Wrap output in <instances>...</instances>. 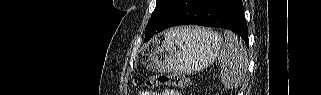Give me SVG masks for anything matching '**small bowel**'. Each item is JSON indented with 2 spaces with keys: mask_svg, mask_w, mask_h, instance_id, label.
Masks as SVG:
<instances>
[{
  "mask_svg": "<svg viewBox=\"0 0 321 95\" xmlns=\"http://www.w3.org/2000/svg\"><path fill=\"white\" fill-rule=\"evenodd\" d=\"M175 92L174 91H166L165 93H163V95H174ZM143 95H147L146 93H143Z\"/></svg>",
  "mask_w": 321,
  "mask_h": 95,
  "instance_id": "1",
  "label": "small bowel"
}]
</instances>
